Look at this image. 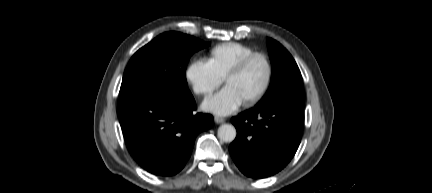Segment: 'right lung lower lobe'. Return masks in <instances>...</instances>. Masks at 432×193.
<instances>
[{"mask_svg":"<svg viewBox=\"0 0 432 193\" xmlns=\"http://www.w3.org/2000/svg\"><path fill=\"white\" fill-rule=\"evenodd\" d=\"M119 120L127 148L137 163L159 176L178 173L188 161L196 136L213 125L209 114H195L193 96L173 98L145 91L120 100Z\"/></svg>","mask_w":432,"mask_h":193,"instance_id":"right-lung-lower-lobe-1","label":"right lung lower lobe"}]
</instances>
